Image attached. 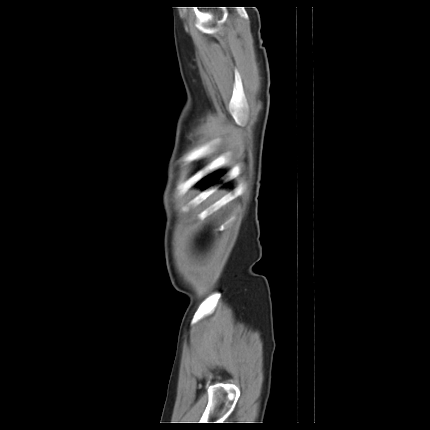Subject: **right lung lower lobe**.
I'll list each match as a JSON object with an SVG mask.
<instances>
[{"instance_id": "right-lung-lower-lobe-1", "label": "right lung lower lobe", "mask_w": 430, "mask_h": 430, "mask_svg": "<svg viewBox=\"0 0 430 430\" xmlns=\"http://www.w3.org/2000/svg\"><path fill=\"white\" fill-rule=\"evenodd\" d=\"M218 179V177H213V178H207V179H204L201 183H200V185H202L205 189L207 188V187H209V186H211L212 184H214L215 182H216V180Z\"/></svg>"}]
</instances>
